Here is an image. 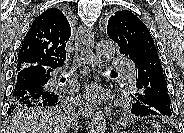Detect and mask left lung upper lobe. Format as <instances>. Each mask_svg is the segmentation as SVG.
Listing matches in <instances>:
<instances>
[{
	"instance_id": "1",
	"label": "left lung upper lobe",
	"mask_w": 184,
	"mask_h": 133,
	"mask_svg": "<svg viewBox=\"0 0 184 133\" xmlns=\"http://www.w3.org/2000/svg\"><path fill=\"white\" fill-rule=\"evenodd\" d=\"M107 34L119 45L120 53L131 58L136 68L142 57H157L160 61L150 31L131 11L118 10L112 14L108 20ZM132 101L131 97L130 104Z\"/></svg>"
}]
</instances>
